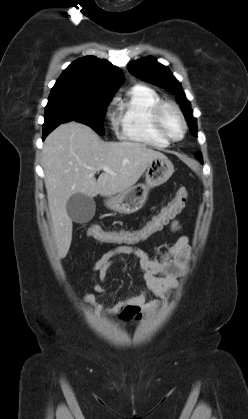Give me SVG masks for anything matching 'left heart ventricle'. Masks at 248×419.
<instances>
[{
  "mask_svg": "<svg viewBox=\"0 0 248 419\" xmlns=\"http://www.w3.org/2000/svg\"><path fill=\"white\" fill-rule=\"evenodd\" d=\"M162 122L166 132L173 138H178L182 133V123L176 114V112L171 108H166L162 114Z\"/></svg>",
  "mask_w": 248,
  "mask_h": 419,
  "instance_id": "obj_1",
  "label": "left heart ventricle"
}]
</instances>
